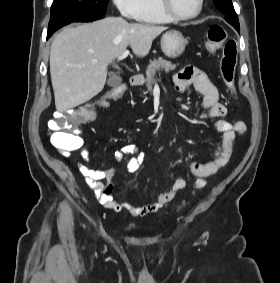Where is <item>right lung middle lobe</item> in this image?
<instances>
[{
	"instance_id": "right-lung-middle-lobe-1",
	"label": "right lung middle lobe",
	"mask_w": 280,
	"mask_h": 283,
	"mask_svg": "<svg viewBox=\"0 0 280 283\" xmlns=\"http://www.w3.org/2000/svg\"><path fill=\"white\" fill-rule=\"evenodd\" d=\"M108 0H54L49 29L73 22H91L104 17Z\"/></svg>"
}]
</instances>
